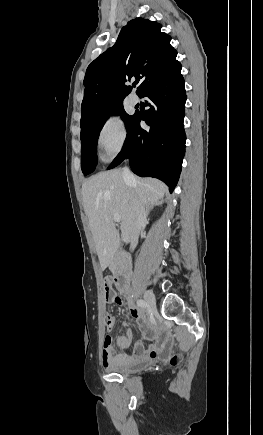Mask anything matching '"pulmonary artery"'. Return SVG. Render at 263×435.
<instances>
[{
    "label": "pulmonary artery",
    "mask_w": 263,
    "mask_h": 435,
    "mask_svg": "<svg viewBox=\"0 0 263 435\" xmlns=\"http://www.w3.org/2000/svg\"><path fill=\"white\" fill-rule=\"evenodd\" d=\"M129 103H130L131 105H137V104L139 103V97H138L137 95H135V94H132V95L129 97Z\"/></svg>",
    "instance_id": "pulmonary-artery-1"
}]
</instances>
